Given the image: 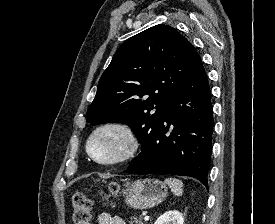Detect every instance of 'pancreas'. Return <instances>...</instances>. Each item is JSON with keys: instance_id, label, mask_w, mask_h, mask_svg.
Returning <instances> with one entry per match:
<instances>
[{"instance_id": "cf45deb5", "label": "pancreas", "mask_w": 275, "mask_h": 224, "mask_svg": "<svg viewBox=\"0 0 275 224\" xmlns=\"http://www.w3.org/2000/svg\"><path fill=\"white\" fill-rule=\"evenodd\" d=\"M130 224H144L141 218L131 217Z\"/></svg>"}]
</instances>
